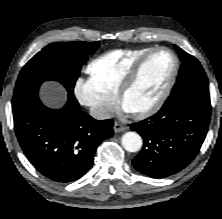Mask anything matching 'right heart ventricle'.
<instances>
[{"label": "right heart ventricle", "mask_w": 222, "mask_h": 219, "mask_svg": "<svg viewBox=\"0 0 222 219\" xmlns=\"http://www.w3.org/2000/svg\"><path fill=\"white\" fill-rule=\"evenodd\" d=\"M152 47L117 49L101 54L87 66L89 79L108 97L116 96L119 84L134 62Z\"/></svg>", "instance_id": "obj_1"}]
</instances>
